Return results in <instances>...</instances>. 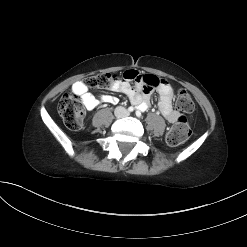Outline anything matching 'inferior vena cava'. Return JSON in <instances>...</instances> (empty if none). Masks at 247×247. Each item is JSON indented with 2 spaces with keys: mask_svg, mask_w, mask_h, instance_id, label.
Here are the masks:
<instances>
[{
  "mask_svg": "<svg viewBox=\"0 0 247 247\" xmlns=\"http://www.w3.org/2000/svg\"><path fill=\"white\" fill-rule=\"evenodd\" d=\"M129 114V112L127 111V109H125L124 107H117L115 109V115L119 118L121 117H125Z\"/></svg>",
  "mask_w": 247,
  "mask_h": 247,
  "instance_id": "602c4592",
  "label": "inferior vena cava"
}]
</instances>
